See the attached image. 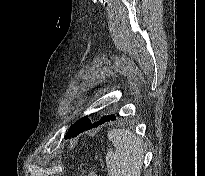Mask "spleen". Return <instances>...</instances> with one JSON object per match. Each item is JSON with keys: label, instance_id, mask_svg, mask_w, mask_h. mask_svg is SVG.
Instances as JSON below:
<instances>
[{"label": "spleen", "instance_id": "spleen-1", "mask_svg": "<svg viewBox=\"0 0 205 176\" xmlns=\"http://www.w3.org/2000/svg\"><path fill=\"white\" fill-rule=\"evenodd\" d=\"M108 138L114 146L106 155L110 176H140L144 158L142 141L131 131L113 129Z\"/></svg>", "mask_w": 205, "mask_h": 176}]
</instances>
